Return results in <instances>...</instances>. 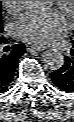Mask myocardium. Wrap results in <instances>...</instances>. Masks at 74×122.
<instances>
[{
  "label": "myocardium",
  "mask_w": 74,
  "mask_h": 122,
  "mask_svg": "<svg viewBox=\"0 0 74 122\" xmlns=\"http://www.w3.org/2000/svg\"><path fill=\"white\" fill-rule=\"evenodd\" d=\"M56 3L61 6L66 8L71 15H73L74 12V1H56Z\"/></svg>",
  "instance_id": "myocardium-1"
}]
</instances>
